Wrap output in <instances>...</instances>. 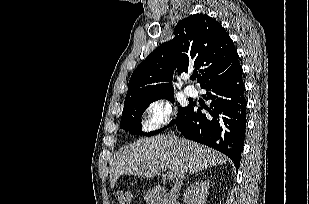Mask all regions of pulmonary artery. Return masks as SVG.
Instances as JSON below:
<instances>
[{"instance_id": "e3ab8cb5", "label": "pulmonary artery", "mask_w": 309, "mask_h": 204, "mask_svg": "<svg viewBox=\"0 0 309 204\" xmlns=\"http://www.w3.org/2000/svg\"><path fill=\"white\" fill-rule=\"evenodd\" d=\"M184 92L188 95V96H194L196 94V88L193 86H186L184 89Z\"/></svg>"}]
</instances>
